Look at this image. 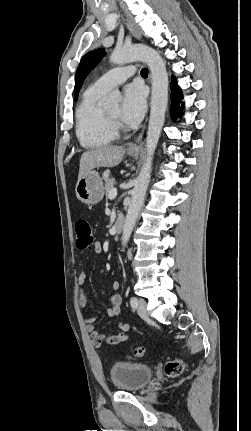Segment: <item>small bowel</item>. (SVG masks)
I'll list each match as a JSON object with an SVG mask.
<instances>
[{
	"instance_id": "small-bowel-1",
	"label": "small bowel",
	"mask_w": 251,
	"mask_h": 431,
	"mask_svg": "<svg viewBox=\"0 0 251 431\" xmlns=\"http://www.w3.org/2000/svg\"><path fill=\"white\" fill-rule=\"evenodd\" d=\"M95 252L96 253L102 252V247L100 244L95 245ZM85 280H86V273L84 271H81L78 274L77 282L79 285L78 303H79V307L82 310L85 309L88 305V299L82 288L83 284L85 283ZM119 287H120V283L118 281H114L112 283L113 290H118ZM121 305H122V297L119 294H113L110 297V305L107 308V315L111 318L118 317L121 312ZM85 322H86L87 332L89 333L92 344L96 348L101 347L103 344H109V345L121 344L127 341L129 338L128 331L130 329V325L127 322L118 321L117 327L119 331L116 333H109V334H101L96 330L94 325L95 323L94 317L86 316Z\"/></svg>"
}]
</instances>
